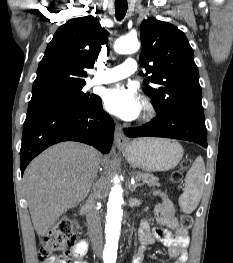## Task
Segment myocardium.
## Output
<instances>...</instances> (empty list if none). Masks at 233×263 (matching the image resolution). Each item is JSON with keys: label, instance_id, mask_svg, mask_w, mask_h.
Masks as SVG:
<instances>
[{"label": "myocardium", "instance_id": "obj_1", "mask_svg": "<svg viewBox=\"0 0 233 263\" xmlns=\"http://www.w3.org/2000/svg\"><path fill=\"white\" fill-rule=\"evenodd\" d=\"M142 109H143L142 121H144V122H148V121L152 120L157 114L156 106L148 98H145L143 100Z\"/></svg>", "mask_w": 233, "mask_h": 263}]
</instances>
